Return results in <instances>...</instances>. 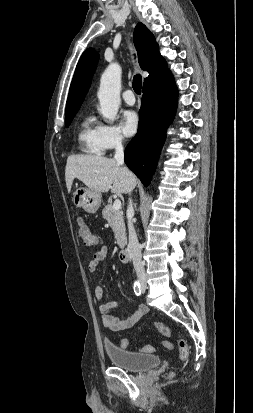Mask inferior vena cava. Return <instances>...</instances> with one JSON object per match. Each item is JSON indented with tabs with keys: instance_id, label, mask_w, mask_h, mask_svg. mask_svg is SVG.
<instances>
[{
	"instance_id": "602c4592",
	"label": "inferior vena cava",
	"mask_w": 253,
	"mask_h": 413,
	"mask_svg": "<svg viewBox=\"0 0 253 413\" xmlns=\"http://www.w3.org/2000/svg\"><path fill=\"white\" fill-rule=\"evenodd\" d=\"M114 159L120 165L124 164V151L122 146L121 138H117L115 142V155ZM132 190L129 191V193ZM134 216V209L132 205V200L129 199V205L127 208V219H128V231H129V244L128 247L131 251L132 261L136 274L140 277H145V270L142 263L141 247L138 242V238L134 229L132 217Z\"/></svg>"
}]
</instances>
